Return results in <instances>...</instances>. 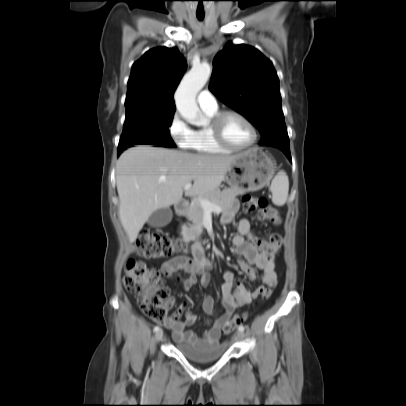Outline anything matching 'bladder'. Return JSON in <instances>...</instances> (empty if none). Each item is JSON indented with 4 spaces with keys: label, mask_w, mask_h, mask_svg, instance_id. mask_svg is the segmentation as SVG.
I'll list each match as a JSON object with an SVG mask.
<instances>
[{
    "label": "bladder",
    "mask_w": 406,
    "mask_h": 406,
    "mask_svg": "<svg viewBox=\"0 0 406 406\" xmlns=\"http://www.w3.org/2000/svg\"><path fill=\"white\" fill-rule=\"evenodd\" d=\"M176 347L184 357L198 363L215 361L222 357L226 352V347L220 344L197 347L190 344L176 342Z\"/></svg>",
    "instance_id": "bladder-1"
}]
</instances>
